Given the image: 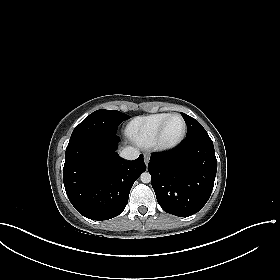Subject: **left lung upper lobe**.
Returning a JSON list of instances; mask_svg holds the SVG:
<instances>
[{
	"label": "left lung upper lobe",
	"instance_id": "1",
	"mask_svg": "<svg viewBox=\"0 0 280 280\" xmlns=\"http://www.w3.org/2000/svg\"><path fill=\"white\" fill-rule=\"evenodd\" d=\"M187 124V134L186 137L196 136V135H208L206 130L192 117L181 113Z\"/></svg>",
	"mask_w": 280,
	"mask_h": 280
}]
</instances>
